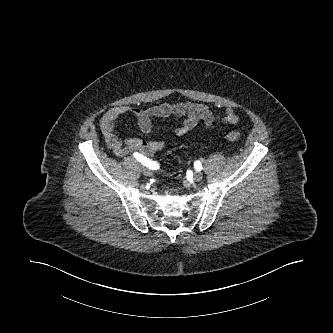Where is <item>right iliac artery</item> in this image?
Instances as JSON below:
<instances>
[{
  "mask_svg": "<svg viewBox=\"0 0 333 333\" xmlns=\"http://www.w3.org/2000/svg\"><path fill=\"white\" fill-rule=\"evenodd\" d=\"M133 156L144 166L149 167L150 169L156 170L159 168V164L157 162L151 161L150 159L144 157L139 153H134Z\"/></svg>",
  "mask_w": 333,
  "mask_h": 333,
  "instance_id": "obj_1",
  "label": "right iliac artery"
}]
</instances>
